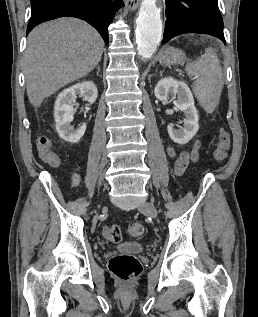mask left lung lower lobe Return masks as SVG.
<instances>
[{"mask_svg": "<svg viewBox=\"0 0 258 317\" xmlns=\"http://www.w3.org/2000/svg\"><path fill=\"white\" fill-rule=\"evenodd\" d=\"M166 17L162 42L180 34L200 33L226 44L217 0H166Z\"/></svg>", "mask_w": 258, "mask_h": 317, "instance_id": "obj_1", "label": "left lung lower lobe"}]
</instances>
